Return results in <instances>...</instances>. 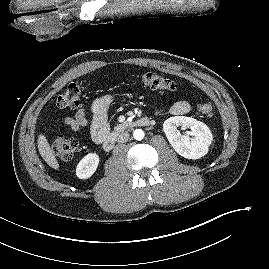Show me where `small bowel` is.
<instances>
[{"mask_svg":"<svg viewBox=\"0 0 269 269\" xmlns=\"http://www.w3.org/2000/svg\"><path fill=\"white\" fill-rule=\"evenodd\" d=\"M108 95L97 98L92 104L91 135L94 141L101 143L109 131L107 112L111 104ZM190 111V104L186 100L176 101L171 108L173 115H185ZM65 123L75 131H80L88 126L86 111L79 108L73 117H66Z\"/></svg>","mask_w":269,"mask_h":269,"instance_id":"small-bowel-1","label":"small bowel"}]
</instances>
